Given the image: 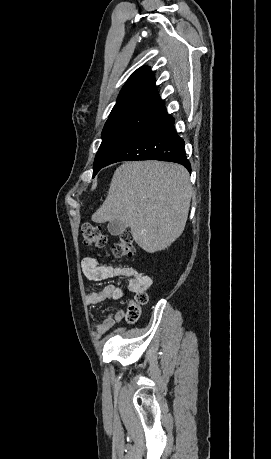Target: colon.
<instances>
[{
    "label": "colon",
    "instance_id": "obj_1",
    "mask_svg": "<svg viewBox=\"0 0 271 459\" xmlns=\"http://www.w3.org/2000/svg\"><path fill=\"white\" fill-rule=\"evenodd\" d=\"M83 243L87 247H104L107 238L101 227L92 224H83L80 228ZM135 253L133 237L129 231L122 232L111 248V254L118 258H132ZM147 302V295L138 292L134 299L129 303L127 309V319L135 322L140 316V308Z\"/></svg>",
    "mask_w": 271,
    "mask_h": 459
}]
</instances>
